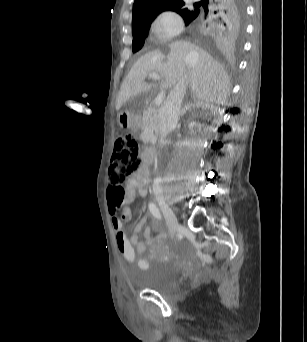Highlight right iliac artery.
<instances>
[{"instance_id": "82829eb1", "label": "right iliac artery", "mask_w": 307, "mask_h": 342, "mask_svg": "<svg viewBox=\"0 0 307 342\" xmlns=\"http://www.w3.org/2000/svg\"><path fill=\"white\" fill-rule=\"evenodd\" d=\"M149 210H150V212L153 214V216H155V217L158 218L159 220H162V215H161L159 209L156 207L155 204L150 203V204H149Z\"/></svg>"}]
</instances>
